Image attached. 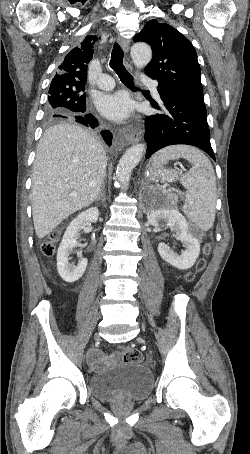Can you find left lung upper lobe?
<instances>
[{
    "mask_svg": "<svg viewBox=\"0 0 250 454\" xmlns=\"http://www.w3.org/2000/svg\"><path fill=\"white\" fill-rule=\"evenodd\" d=\"M134 41L151 46L153 56L145 72L158 81V87L203 92L196 51L179 31L166 23L150 20Z\"/></svg>",
    "mask_w": 250,
    "mask_h": 454,
    "instance_id": "1",
    "label": "left lung upper lobe"
}]
</instances>
